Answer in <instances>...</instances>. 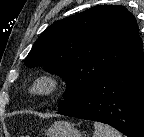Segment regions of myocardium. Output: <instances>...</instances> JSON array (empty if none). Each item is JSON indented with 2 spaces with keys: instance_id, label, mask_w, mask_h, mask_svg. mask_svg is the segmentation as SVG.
Returning a JSON list of instances; mask_svg holds the SVG:
<instances>
[{
  "instance_id": "f54148a6",
  "label": "myocardium",
  "mask_w": 144,
  "mask_h": 137,
  "mask_svg": "<svg viewBox=\"0 0 144 137\" xmlns=\"http://www.w3.org/2000/svg\"><path fill=\"white\" fill-rule=\"evenodd\" d=\"M60 87L58 77L53 73H43L36 76L27 87L31 97H48L55 94Z\"/></svg>"
}]
</instances>
